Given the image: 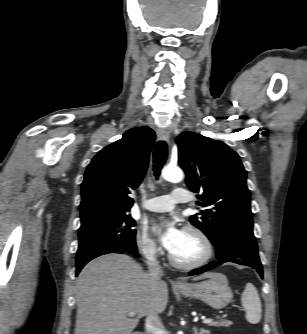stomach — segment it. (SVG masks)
Instances as JSON below:
<instances>
[{"label": "stomach", "mask_w": 307, "mask_h": 334, "mask_svg": "<svg viewBox=\"0 0 307 334\" xmlns=\"http://www.w3.org/2000/svg\"><path fill=\"white\" fill-rule=\"evenodd\" d=\"M177 291L185 297L199 299L214 309L226 307L233 298L228 280L221 273H212L206 280L188 284Z\"/></svg>", "instance_id": "stomach-1"}]
</instances>
